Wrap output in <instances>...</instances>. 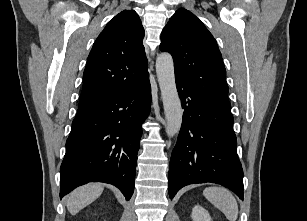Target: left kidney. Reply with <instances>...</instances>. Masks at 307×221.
<instances>
[{
    "mask_svg": "<svg viewBox=\"0 0 307 221\" xmlns=\"http://www.w3.org/2000/svg\"><path fill=\"white\" fill-rule=\"evenodd\" d=\"M193 221H211L210 214L200 205H195L192 209Z\"/></svg>",
    "mask_w": 307,
    "mask_h": 221,
    "instance_id": "5707ae66",
    "label": "left kidney"
}]
</instances>
